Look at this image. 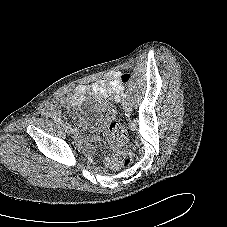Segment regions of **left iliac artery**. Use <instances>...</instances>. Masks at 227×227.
Returning <instances> with one entry per match:
<instances>
[{
    "label": "left iliac artery",
    "instance_id": "left-iliac-artery-1",
    "mask_svg": "<svg viewBox=\"0 0 227 227\" xmlns=\"http://www.w3.org/2000/svg\"><path fill=\"white\" fill-rule=\"evenodd\" d=\"M121 97L123 98V101H126V95L124 93L121 94Z\"/></svg>",
    "mask_w": 227,
    "mask_h": 227
}]
</instances>
